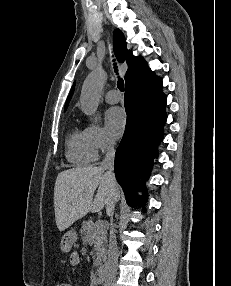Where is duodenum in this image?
Returning a JSON list of instances; mask_svg holds the SVG:
<instances>
[{"label": "duodenum", "instance_id": "obj_1", "mask_svg": "<svg viewBox=\"0 0 231 286\" xmlns=\"http://www.w3.org/2000/svg\"><path fill=\"white\" fill-rule=\"evenodd\" d=\"M95 279L98 283H103L105 281V268L103 266L95 271Z\"/></svg>", "mask_w": 231, "mask_h": 286}]
</instances>
